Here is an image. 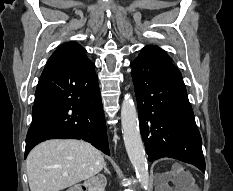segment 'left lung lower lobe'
Masks as SVG:
<instances>
[{
	"label": "left lung lower lobe",
	"instance_id": "1",
	"mask_svg": "<svg viewBox=\"0 0 233 191\" xmlns=\"http://www.w3.org/2000/svg\"><path fill=\"white\" fill-rule=\"evenodd\" d=\"M130 66L148 160L170 157L205 172L201 136L178 68L157 56H138Z\"/></svg>",
	"mask_w": 233,
	"mask_h": 191
}]
</instances>
